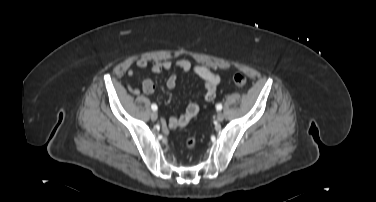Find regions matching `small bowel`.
I'll list each match as a JSON object with an SVG mask.
<instances>
[{
    "instance_id": "small-bowel-1",
    "label": "small bowel",
    "mask_w": 376,
    "mask_h": 202,
    "mask_svg": "<svg viewBox=\"0 0 376 202\" xmlns=\"http://www.w3.org/2000/svg\"><path fill=\"white\" fill-rule=\"evenodd\" d=\"M135 67L138 69H145L147 67V61L145 60H138L135 64ZM175 68H179L184 72H193L197 75L203 82L205 86V91L203 94V100L206 102H211L215 99L217 93V87L220 83V77L213 73L210 69L205 66L200 65H193L190 61L186 59H181L178 61H155L151 64V71L154 73H160L162 71H169ZM135 73L134 68H130L127 72L129 77H132ZM177 85V74L173 73L169 76L166 82V86L169 89H174ZM128 90L134 94L138 95L142 91L145 94H151L154 91V84L150 79H146L143 81L141 90L131 86L130 84L127 85ZM195 109L196 112L192 113L191 109ZM199 105L197 103H190L184 114L180 116H172L169 119L168 126L170 129H177L180 127L186 126L189 121L198 113Z\"/></svg>"
}]
</instances>
